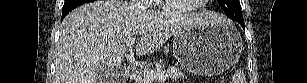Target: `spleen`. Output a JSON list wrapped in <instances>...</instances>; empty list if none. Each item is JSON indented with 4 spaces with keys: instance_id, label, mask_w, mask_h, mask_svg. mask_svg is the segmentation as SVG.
<instances>
[{
    "instance_id": "1",
    "label": "spleen",
    "mask_w": 307,
    "mask_h": 83,
    "mask_svg": "<svg viewBox=\"0 0 307 83\" xmlns=\"http://www.w3.org/2000/svg\"><path fill=\"white\" fill-rule=\"evenodd\" d=\"M232 83H246L244 73L241 69L235 72Z\"/></svg>"
}]
</instances>
